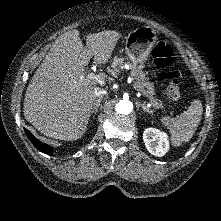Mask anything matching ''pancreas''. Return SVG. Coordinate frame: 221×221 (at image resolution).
Here are the masks:
<instances>
[{
	"instance_id": "obj_1",
	"label": "pancreas",
	"mask_w": 221,
	"mask_h": 221,
	"mask_svg": "<svg viewBox=\"0 0 221 221\" xmlns=\"http://www.w3.org/2000/svg\"><path fill=\"white\" fill-rule=\"evenodd\" d=\"M123 63L124 58L115 57L111 63V69H109V72L113 76H117L119 73V68L123 65ZM129 66L136 89L142 92L143 95L148 97L155 108H162L164 106V103L158 102L155 97H153L155 95V89L153 83L148 81V77H146L147 74L141 69V67H137L135 63H129Z\"/></svg>"
}]
</instances>
